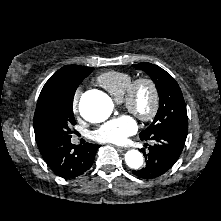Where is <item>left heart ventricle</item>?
I'll return each mask as SVG.
<instances>
[{
	"label": "left heart ventricle",
	"mask_w": 221,
	"mask_h": 221,
	"mask_svg": "<svg viewBox=\"0 0 221 221\" xmlns=\"http://www.w3.org/2000/svg\"><path fill=\"white\" fill-rule=\"evenodd\" d=\"M151 105L149 89L146 86H141L135 96V106L141 112H147Z\"/></svg>",
	"instance_id": "left-heart-ventricle-1"
}]
</instances>
